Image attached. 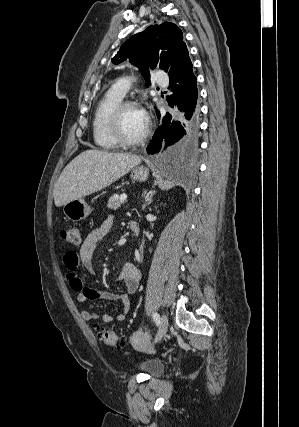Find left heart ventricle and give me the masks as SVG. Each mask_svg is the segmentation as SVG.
I'll use <instances>...</instances> for the list:
<instances>
[{
	"label": "left heart ventricle",
	"mask_w": 299,
	"mask_h": 427,
	"mask_svg": "<svg viewBox=\"0 0 299 427\" xmlns=\"http://www.w3.org/2000/svg\"><path fill=\"white\" fill-rule=\"evenodd\" d=\"M146 128L140 112L136 108H126L121 115V131L128 139L140 136Z\"/></svg>",
	"instance_id": "obj_1"
}]
</instances>
